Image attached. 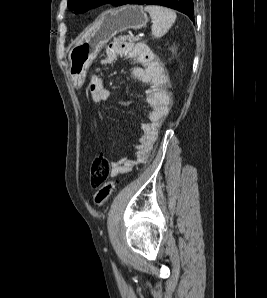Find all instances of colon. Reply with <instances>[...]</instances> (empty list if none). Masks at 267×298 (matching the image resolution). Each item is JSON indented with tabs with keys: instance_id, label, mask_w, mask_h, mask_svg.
Instances as JSON below:
<instances>
[{
	"instance_id": "colon-1",
	"label": "colon",
	"mask_w": 267,
	"mask_h": 298,
	"mask_svg": "<svg viewBox=\"0 0 267 298\" xmlns=\"http://www.w3.org/2000/svg\"><path fill=\"white\" fill-rule=\"evenodd\" d=\"M110 174V162L104 153L95 155L91 164L90 183L97 188L94 195L95 203L98 206L104 205L115 190L117 180H108Z\"/></svg>"
}]
</instances>
